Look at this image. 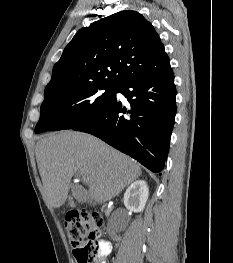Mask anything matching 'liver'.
<instances>
[{
    "label": "liver",
    "instance_id": "6515ba94",
    "mask_svg": "<svg viewBox=\"0 0 233 263\" xmlns=\"http://www.w3.org/2000/svg\"><path fill=\"white\" fill-rule=\"evenodd\" d=\"M36 160L45 201L53 208L65 203L76 173L90 179L88 195L101 204L141 175L139 164L128 156L90 134L71 130L41 138Z\"/></svg>",
    "mask_w": 233,
    "mask_h": 263
}]
</instances>
